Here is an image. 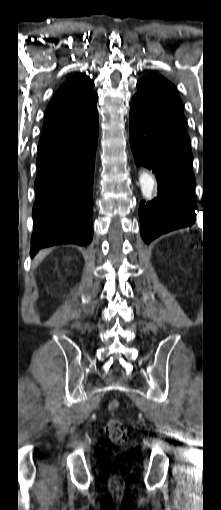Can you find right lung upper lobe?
<instances>
[{
	"label": "right lung upper lobe",
	"instance_id": "cb5924a9",
	"mask_svg": "<svg viewBox=\"0 0 221 510\" xmlns=\"http://www.w3.org/2000/svg\"><path fill=\"white\" fill-rule=\"evenodd\" d=\"M93 86V81L84 74L74 75L64 82L46 108L39 143L82 131L98 118V95L92 92Z\"/></svg>",
	"mask_w": 221,
	"mask_h": 510
}]
</instances>
